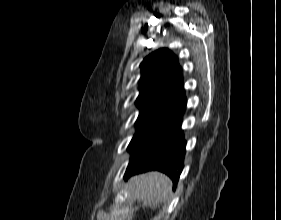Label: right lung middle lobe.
Returning <instances> with one entry per match:
<instances>
[{
  "label": "right lung middle lobe",
  "mask_w": 281,
  "mask_h": 220,
  "mask_svg": "<svg viewBox=\"0 0 281 220\" xmlns=\"http://www.w3.org/2000/svg\"><path fill=\"white\" fill-rule=\"evenodd\" d=\"M166 118H138L136 133L131 140L128 151L131 160L135 158L146 146L170 123Z\"/></svg>",
  "instance_id": "obj_1"
}]
</instances>
